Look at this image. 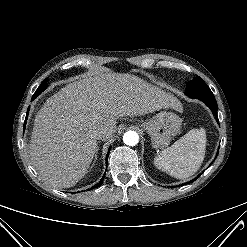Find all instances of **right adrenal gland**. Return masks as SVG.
<instances>
[{"instance_id":"1","label":"right adrenal gland","mask_w":247,"mask_h":247,"mask_svg":"<svg viewBox=\"0 0 247 247\" xmlns=\"http://www.w3.org/2000/svg\"><path fill=\"white\" fill-rule=\"evenodd\" d=\"M96 159H97V154L95 155V160H94V163L96 162ZM94 163H93V165H94Z\"/></svg>"}]
</instances>
